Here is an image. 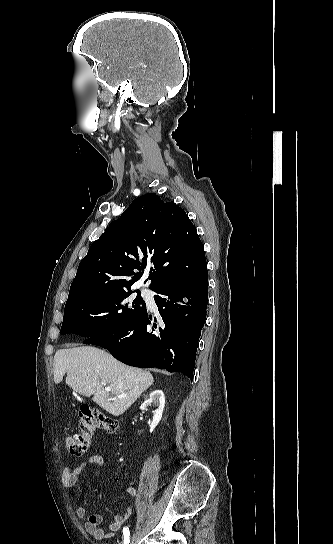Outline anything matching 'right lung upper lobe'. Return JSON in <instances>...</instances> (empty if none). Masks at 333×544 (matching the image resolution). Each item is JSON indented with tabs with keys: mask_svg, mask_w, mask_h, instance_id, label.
Masks as SVG:
<instances>
[{
	"mask_svg": "<svg viewBox=\"0 0 333 544\" xmlns=\"http://www.w3.org/2000/svg\"><path fill=\"white\" fill-rule=\"evenodd\" d=\"M148 264L153 291L207 267L203 245L185 211L154 193L136 198L94 241L78 267L68 301L130 290Z\"/></svg>",
	"mask_w": 333,
	"mask_h": 544,
	"instance_id": "1",
	"label": "right lung upper lobe"
}]
</instances>
